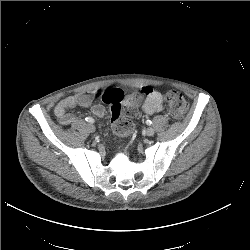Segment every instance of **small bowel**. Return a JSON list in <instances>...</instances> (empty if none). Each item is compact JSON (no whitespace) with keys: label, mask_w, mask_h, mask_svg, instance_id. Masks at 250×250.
<instances>
[{"label":"small bowel","mask_w":250,"mask_h":250,"mask_svg":"<svg viewBox=\"0 0 250 250\" xmlns=\"http://www.w3.org/2000/svg\"><path fill=\"white\" fill-rule=\"evenodd\" d=\"M143 93L145 94V100L142 105V110L146 114H154L164 109L163 95L151 88L144 87ZM96 94L87 92L68 96L58 102L54 109L55 116L59 122L63 125H69L75 122L76 118L68 111L77 106L91 108L94 116L102 117L105 114V108L101 104H93Z\"/></svg>","instance_id":"c3829d8e"}]
</instances>
